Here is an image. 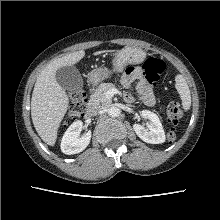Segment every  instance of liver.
<instances>
[{
    "instance_id": "1",
    "label": "liver",
    "mask_w": 220,
    "mask_h": 220,
    "mask_svg": "<svg viewBox=\"0 0 220 220\" xmlns=\"http://www.w3.org/2000/svg\"><path fill=\"white\" fill-rule=\"evenodd\" d=\"M105 52L109 50L97 51L94 55ZM84 56L85 51L80 50L55 59L37 77L31 98V117L38 135L50 146L55 145L58 128L69 108V97L57 82L56 71L78 63Z\"/></svg>"
}]
</instances>
